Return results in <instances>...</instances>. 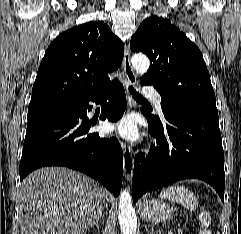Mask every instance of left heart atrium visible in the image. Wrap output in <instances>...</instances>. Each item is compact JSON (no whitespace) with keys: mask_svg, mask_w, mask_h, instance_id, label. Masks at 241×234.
Wrapping results in <instances>:
<instances>
[{"mask_svg":"<svg viewBox=\"0 0 241 234\" xmlns=\"http://www.w3.org/2000/svg\"><path fill=\"white\" fill-rule=\"evenodd\" d=\"M112 128L118 135L127 140L136 141L139 138L135 121L130 116L121 119L115 123Z\"/></svg>","mask_w":241,"mask_h":234,"instance_id":"obj_1","label":"left heart atrium"}]
</instances>
